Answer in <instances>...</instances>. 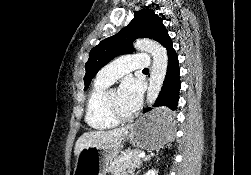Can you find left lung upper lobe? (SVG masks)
<instances>
[{
	"label": "left lung upper lobe",
	"instance_id": "1",
	"mask_svg": "<svg viewBox=\"0 0 251 175\" xmlns=\"http://www.w3.org/2000/svg\"><path fill=\"white\" fill-rule=\"evenodd\" d=\"M162 18L154 11L142 9L134 14L132 21L117 34L108 37L94 47L85 65L86 90L96 73L113 58L134 51L133 42L137 38H150L157 42L167 34Z\"/></svg>",
	"mask_w": 251,
	"mask_h": 175
}]
</instances>
